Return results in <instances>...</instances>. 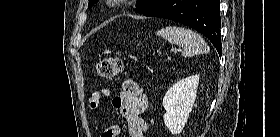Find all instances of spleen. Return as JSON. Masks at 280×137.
I'll use <instances>...</instances> for the list:
<instances>
[{"mask_svg": "<svg viewBox=\"0 0 280 137\" xmlns=\"http://www.w3.org/2000/svg\"><path fill=\"white\" fill-rule=\"evenodd\" d=\"M156 35L172 44L181 46L184 57H191L209 51L207 43L199 34L184 27L167 26L158 30Z\"/></svg>", "mask_w": 280, "mask_h": 137, "instance_id": "obj_1", "label": "spleen"}]
</instances>
